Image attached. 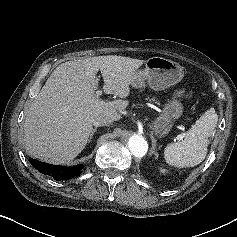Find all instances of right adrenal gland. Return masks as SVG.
<instances>
[{"label":"right adrenal gland","instance_id":"right-adrenal-gland-1","mask_svg":"<svg viewBox=\"0 0 237 237\" xmlns=\"http://www.w3.org/2000/svg\"><path fill=\"white\" fill-rule=\"evenodd\" d=\"M97 131V128H94L93 130H92V132H91V135H90V137H89V140H88V142H90L91 140H92V138H93V135H94V133Z\"/></svg>","mask_w":237,"mask_h":237}]
</instances>
